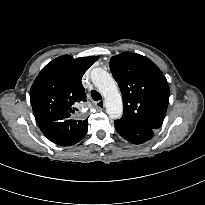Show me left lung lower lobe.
Segmentation results:
<instances>
[{"label":"left lung lower lobe","instance_id":"left-lung-lower-lobe-1","mask_svg":"<svg viewBox=\"0 0 205 205\" xmlns=\"http://www.w3.org/2000/svg\"><path fill=\"white\" fill-rule=\"evenodd\" d=\"M114 124L117 133L133 144H142L154 135V129L123 118L115 120Z\"/></svg>","mask_w":205,"mask_h":205}]
</instances>
